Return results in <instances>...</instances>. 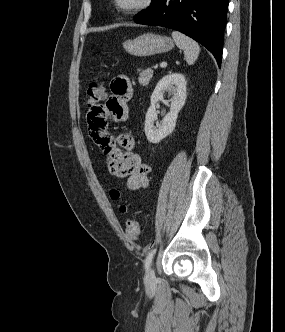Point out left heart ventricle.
Here are the masks:
<instances>
[{"mask_svg":"<svg viewBox=\"0 0 285 332\" xmlns=\"http://www.w3.org/2000/svg\"><path fill=\"white\" fill-rule=\"evenodd\" d=\"M123 5H130L134 3L136 0H120Z\"/></svg>","mask_w":285,"mask_h":332,"instance_id":"1","label":"left heart ventricle"}]
</instances>
